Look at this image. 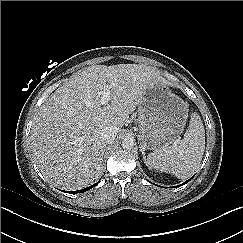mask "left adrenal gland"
<instances>
[{
	"mask_svg": "<svg viewBox=\"0 0 243 243\" xmlns=\"http://www.w3.org/2000/svg\"><path fill=\"white\" fill-rule=\"evenodd\" d=\"M140 151H141V153H142V155H143V159H144V161H146V156H145L144 149L140 148Z\"/></svg>",
	"mask_w": 243,
	"mask_h": 243,
	"instance_id": "a2214340",
	"label": "left adrenal gland"
}]
</instances>
